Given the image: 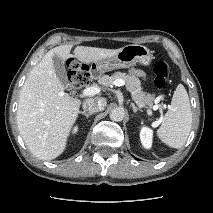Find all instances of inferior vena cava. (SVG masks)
Returning <instances> with one entry per match:
<instances>
[{"label":"inferior vena cava","instance_id":"1","mask_svg":"<svg viewBox=\"0 0 213 213\" xmlns=\"http://www.w3.org/2000/svg\"><path fill=\"white\" fill-rule=\"evenodd\" d=\"M107 101L104 98H89L83 102V109L90 113L103 111L106 107Z\"/></svg>","mask_w":213,"mask_h":213}]
</instances>
